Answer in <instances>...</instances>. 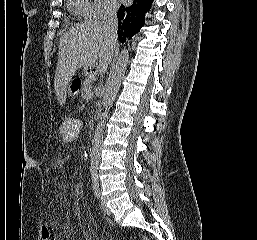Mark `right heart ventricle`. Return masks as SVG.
Returning a JSON list of instances; mask_svg holds the SVG:
<instances>
[{
	"mask_svg": "<svg viewBox=\"0 0 257 240\" xmlns=\"http://www.w3.org/2000/svg\"><path fill=\"white\" fill-rule=\"evenodd\" d=\"M69 7L77 16L81 18L88 17L91 1L90 0H69Z\"/></svg>",
	"mask_w": 257,
	"mask_h": 240,
	"instance_id": "obj_1",
	"label": "right heart ventricle"
}]
</instances>
